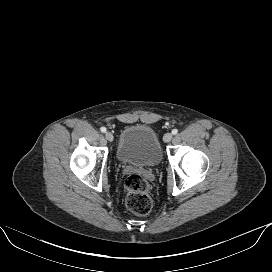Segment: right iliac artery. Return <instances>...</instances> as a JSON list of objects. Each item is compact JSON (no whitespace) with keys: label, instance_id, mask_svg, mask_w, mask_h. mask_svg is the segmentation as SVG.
<instances>
[{"label":"right iliac artery","instance_id":"1","mask_svg":"<svg viewBox=\"0 0 272 272\" xmlns=\"http://www.w3.org/2000/svg\"><path fill=\"white\" fill-rule=\"evenodd\" d=\"M100 130H101V132H103V133L106 132V128H105V127H101Z\"/></svg>","mask_w":272,"mask_h":272}]
</instances>
